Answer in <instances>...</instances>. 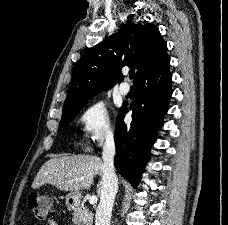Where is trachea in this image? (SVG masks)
Returning a JSON list of instances; mask_svg holds the SVG:
<instances>
[{"instance_id":"obj_1","label":"trachea","mask_w":228,"mask_h":225,"mask_svg":"<svg viewBox=\"0 0 228 225\" xmlns=\"http://www.w3.org/2000/svg\"><path fill=\"white\" fill-rule=\"evenodd\" d=\"M134 74H135V70H130V72H129L130 78H133L134 77Z\"/></svg>"}]
</instances>
